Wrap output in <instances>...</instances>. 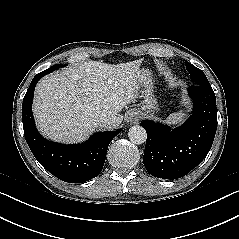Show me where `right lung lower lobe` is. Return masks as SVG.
Listing matches in <instances>:
<instances>
[{"mask_svg": "<svg viewBox=\"0 0 239 239\" xmlns=\"http://www.w3.org/2000/svg\"><path fill=\"white\" fill-rule=\"evenodd\" d=\"M49 71L37 74L23 99V129L26 142L40 164L58 179L69 183H82L96 177L102 170L108 145L121 132L107 131L93 134L78 145L50 142L37 131L32 114L35 85Z\"/></svg>", "mask_w": 239, "mask_h": 239, "instance_id": "obj_1", "label": "right lung lower lobe"}]
</instances>
